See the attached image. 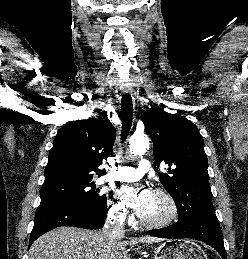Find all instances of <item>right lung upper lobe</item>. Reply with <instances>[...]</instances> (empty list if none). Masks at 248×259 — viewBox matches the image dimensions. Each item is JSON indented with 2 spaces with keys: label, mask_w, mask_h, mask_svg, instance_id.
I'll use <instances>...</instances> for the list:
<instances>
[{
  "label": "right lung upper lobe",
  "mask_w": 248,
  "mask_h": 259,
  "mask_svg": "<svg viewBox=\"0 0 248 259\" xmlns=\"http://www.w3.org/2000/svg\"><path fill=\"white\" fill-rule=\"evenodd\" d=\"M97 118L68 122L58 131L45 167L44 183L92 180L94 173L112 153L116 132L100 112Z\"/></svg>",
  "instance_id": "obj_1"
}]
</instances>
